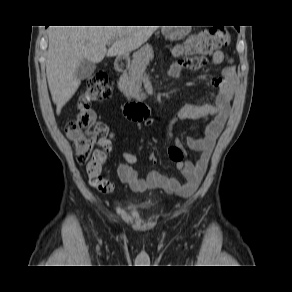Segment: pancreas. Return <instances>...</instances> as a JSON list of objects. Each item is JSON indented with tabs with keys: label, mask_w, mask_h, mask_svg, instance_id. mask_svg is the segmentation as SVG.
<instances>
[{
	"label": "pancreas",
	"mask_w": 292,
	"mask_h": 292,
	"mask_svg": "<svg viewBox=\"0 0 292 292\" xmlns=\"http://www.w3.org/2000/svg\"><path fill=\"white\" fill-rule=\"evenodd\" d=\"M153 56V49L150 45L143 46L135 53L128 73H123L118 82L120 91L126 97H137L140 93L143 74Z\"/></svg>",
	"instance_id": "cf45deb5"
}]
</instances>
